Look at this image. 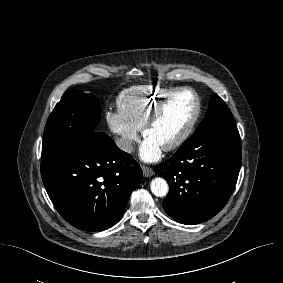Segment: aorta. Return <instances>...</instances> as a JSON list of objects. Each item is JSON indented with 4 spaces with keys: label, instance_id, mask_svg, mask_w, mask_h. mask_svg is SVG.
<instances>
[{
    "label": "aorta",
    "instance_id": "aorta-1",
    "mask_svg": "<svg viewBox=\"0 0 283 283\" xmlns=\"http://www.w3.org/2000/svg\"><path fill=\"white\" fill-rule=\"evenodd\" d=\"M150 188L152 193L157 197H164L167 195L169 187L165 179L157 177L151 181Z\"/></svg>",
    "mask_w": 283,
    "mask_h": 283
}]
</instances>
